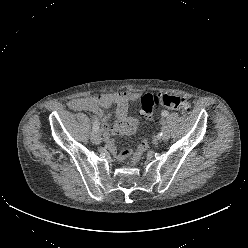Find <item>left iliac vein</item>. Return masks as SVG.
<instances>
[{
  "mask_svg": "<svg viewBox=\"0 0 248 248\" xmlns=\"http://www.w3.org/2000/svg\"><path fill=\"white\" fill-rule=\"evenodd\" d=\"M163 134L161 136L162 141H167L169 139V133L165 127L162 128Z\"/></svg>",
  "mask_w": 248,
  "mask_h": 248,
  "instance_id": "1",
  "label": "left iliac vein"
}]
</instances>
